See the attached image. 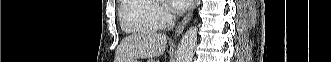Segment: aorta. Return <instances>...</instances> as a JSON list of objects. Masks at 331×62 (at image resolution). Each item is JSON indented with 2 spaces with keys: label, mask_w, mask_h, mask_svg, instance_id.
<instances>
[{
  "label": "aorta",
  "mask_w": 331,
  "mask_h": 62,
  "mask_svg": "<svg viewBox=\"0 0 331 62\" xmlns=\"http://www.w3.org/2000/svg\"><path fill=\"white\" fill-rule=\"evenodd\" d=\"M197 43V28H189L183 35L177 50L176 62H192Z\"/></svg>",
  "instance_id": "aorta-1"
}]
</instances>
